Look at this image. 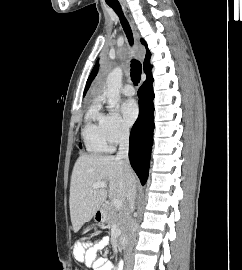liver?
I'll return each mask as SVG.
<instances>
[{"label":"liver","mask_w":242,"mask_h":270,"mask_svg":"<svg viewBox=\"0 0 242 270\" xmlns=\"http://www.w3.org/2000/svg\"><path fill=\"white\" fill-rule=\"evenodd\" d=\"M128 174L136 183L134 172H128L123 161L111 155H82L77 159L72 171L69 199L74 232L92 219L107 197L126 200ZM96 182L108 184L109 188L94 191L92 186Z\"/></svg>","instance_id":"liver-1"}]
</instances>
